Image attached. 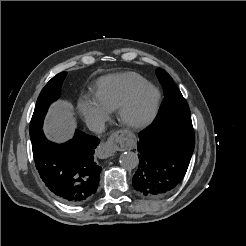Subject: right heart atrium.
I'll list each match as a JSON object with an SVG mask.
<instances>
[{"mask_svg": "<svg viewBox=\"0 0 246 246\" xmlns=\"http://www.w3.org/2000/svg\"><path fill=\"white\" fill-rule=\"evenodd\" d=\"M77 108L85 123L96 130L100 129L109 117V111L95 97L89 95L80 97Z\"/></svg>", "mask_w": 246, "mask_h": 246, "instance_id": "obj_1", "label": "right heart atrium"}]
</instances>
